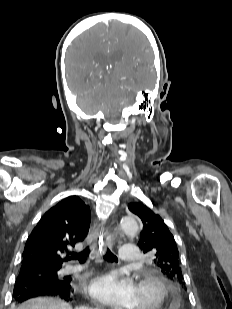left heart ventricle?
I'll return each instance as SVG.
<instances>
[{"label": "left heart ventricle", "mask_w": 232, "mask_h": 309, "mask_svg": "<svg viewBox=\"0 0 232 309\" xmlns=\"http://www.w3.org/2000/svg\"><path fill=\"white\" fill-rule=\"evenodd\" d=\"M156 298V291L152 285H137L136 301L133 309H143L154 303Z\"/></svg>", "instance_id": "left-heart-ventricle-1"}]
</instances>
